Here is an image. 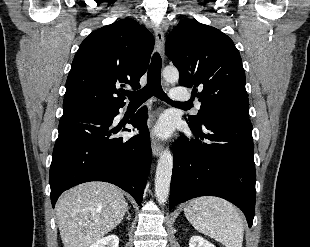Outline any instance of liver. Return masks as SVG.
<instances>
[{
    "instance_id": "liver-1",
    "label": "liver",
    "mask_w": 310,
    "mask_h": 247,
    "mask_svg": "<svg viewBox=\"0 0 310 247\" xmlns=\"http://www.w3.org/2000/svg\"><path fill=\"white\" fill-rule=\"evenodd\" d=\"M128 204L116 186L87 182L68 190L56 204L64 247H89L120 224Z\"/></svg>"
}]
</instances>
